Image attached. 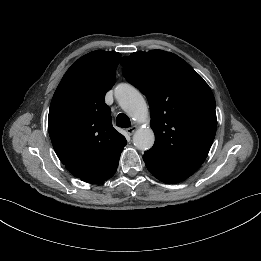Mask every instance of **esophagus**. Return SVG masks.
Here are the masks:
<instances>
[{
    "label": "esophagus",
    "instance_id": "1",
    "mask_svg": "<svg viewBox=\"0 0 261 261\" xmlns=\"http://www.w3.org/2000/svg\"><path fill=\"white\" fill-rule=\"evenodd\" d=\"M136 129H137V126L134 125V126H132V127L127 128L126 131H127V133H128L129 135H132V134H134V132L136 131Z\"/></svg>",
    "mask_w": 261,
    "mask_h": 261
}]
</instances>
